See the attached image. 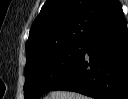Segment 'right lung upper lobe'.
<instances>
[{"label":"right lung upper lobe","mask_w":128,"mask_h":99,"mask_svg":"<svg viewBox=\"0 0 128 99\" xmlns=\"http://www.w3.org/2000/svg\"><path fill=\"white\" fill-rule=\"evenodd\" d=\"M121 8L118 0H47L31 26L27 58L85 41Z\"/></svg>","instance_id":"right-lung-upper-lobe-1"}]
</instances>
